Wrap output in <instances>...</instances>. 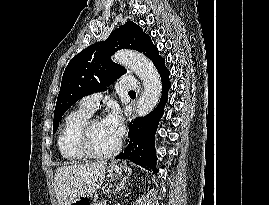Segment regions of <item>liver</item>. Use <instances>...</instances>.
Masks as SVG:
<instances>
[{
  "mask_svg": "<svg viewBox=\"0 0 269 205\" xmlns=\"http://www.w3.org/2000/svg\"><path fill=\"white\" fill-rule=\"evenodd\" d=\"M105 169L106 162L57 168L54 188L58 205H70L82 195L95 193L104 182Z\"/></svg>",
  "mask_w": 269,
  "mask_h": 205,
  "instance_id": "obj_1",
  "label": "liver"
}]
</instances>
